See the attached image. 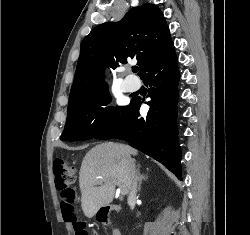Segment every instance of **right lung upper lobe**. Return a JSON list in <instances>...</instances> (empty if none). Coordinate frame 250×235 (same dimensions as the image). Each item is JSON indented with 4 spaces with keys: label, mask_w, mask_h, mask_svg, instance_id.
Listing matches in <instances>:
<instances>
[{
    "label": "right lung upper lobe",
    "mask_w": 250,
    "mask_h": 235,
    "mask_svg": "<svg viewBox=\"0 0 250 235\" xmlns=\"http://www.w3.org/2000/svg\"><path fill=\"white\" fill-rule=\"evenodd\" d=\"M172 43L163 13L149 3L132 8L120 22L98 25L81 43L69 102L107 86L108 66L115 69L135 58L142 77Z\"/></svg>",
    "instance_id": "cb5924a9"
}]
</instances>
